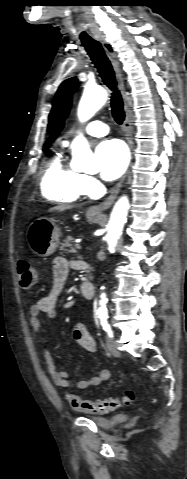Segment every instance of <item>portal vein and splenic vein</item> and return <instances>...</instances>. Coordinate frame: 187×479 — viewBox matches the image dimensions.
<instances>
[{
  "label": "portal vein and splenic vein",
  "mask_w": 187,
  "mask_h": 479,
  "mask_svg": "<svg viewBox=\"0 0 187 479\" xmlns=\"http://www.w3.org/2000/svg\"><path fill=\"white\" fill-rule=\"evenodd\" d=\"M75 247H76V249H78V250H81V249H82V246H80L79 244H76ZM73 252H75V250H74Z\"/></svg>",
  "instance_id": "obj_1"
}]
</instances>
